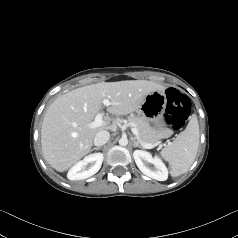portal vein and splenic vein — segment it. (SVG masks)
Returning a JSON list of instances; mask_svg holds the SVG:
<instances>
[{
    "label": "portal vein and splenic vein",
    "instance_id": "1",
    "mask_svg": "<svg viewBox=\"0 0 238 238\" xmlns=\"http://www.w3.org/2000/svg\"><path fill=\"white\" fill-rule=\"evenodd\" d=\"M103 104L104 106H109L110 105V100L109 99H104L103 100ZM103 116H104V113L102 112H99L96 116H95V119L94 121L90 124V127L91 128H96V127H100L103 125ZM132 133L135 135L136 139L140 141V138H139V132L138 130L133 127L131 129ZM141 142V141H140ZM141 145L146 148V149H152L154 147H156L158 145V143H155V144H151V143H142L141 142Z\"/></svg>",
    "mask_w": 238,
    "mask_h": 238
}]
</instances>
